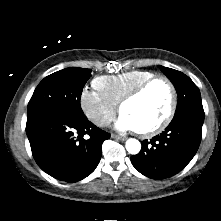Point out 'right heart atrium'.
<instances>
[{"label":"right heart atrium","instance_id":"right-heart-atrium-1","mask_svg":"<svg viewBox=\"0 0 221 221\" xmlns=\"http://www.w3.org/2000/svg\"><path fill=\"white\" fill-rule=\"evenodd\" d=\"M80 105L86 117L98 127L106 126L115 116L117 104L96 89L85 88Z\"/></svg>","mask_w":221,"mask_h":221}]
</instances>
